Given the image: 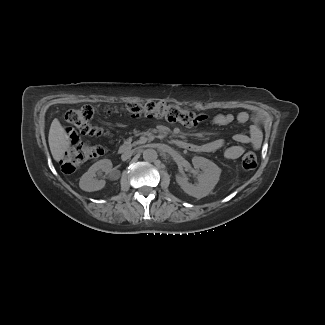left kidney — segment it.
<instances>
[{
  "mask_svg": "<svg viewBox=\"0 0 325 325\" xmlns=\"http://www.w3.org/2000/svg\"><path fill=\"white\" fill-rule=\"evenodd\" d=\"M192 164L195 169L202 170L198 176V183L191 184L188 178L182 175H177L176 181L187 194L200 199L214 189L219 181L221 169L212 161L199 156L192 158Z\"/></svg>",
  "mask_w": 325,
  "mask_h": 325,
  "instance_id": "left-kidney-1",
  "label": "left kidney"
}]
</instances>
